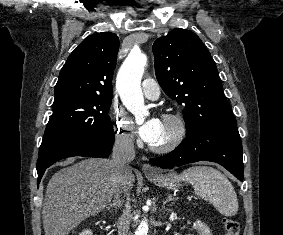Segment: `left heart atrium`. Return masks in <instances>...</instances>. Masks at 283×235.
Returning <instances> with one entry per match:
<instances>
[{
    "label": "left heart atrium",
    "instance_id": "obj_1",
    "mask_svg": "<svg viewBox=\"0 0 283 235\" xmlns=\"http://www.w3.org/2000/svg\"><path fill=\"white\" fill-rule=\"evenodd\" d=\"M162 129V121L153 117L146 121L139 129L141 138L147 143H154Z\"/></svg>",
    "mask_w": 283,
    "mask_h": 235
}]
</instances>
